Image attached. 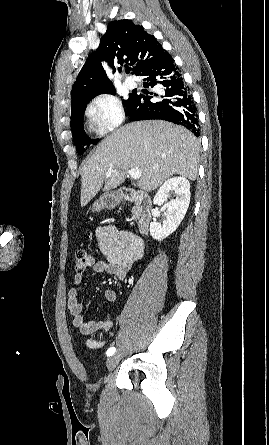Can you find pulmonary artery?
I'll use <instances>...</instances> for the list:
<instances>
[{
    "label": "pulmonary artery",
    "instance_id": "obj_1",
    "mask_svg": "<svg viewBox=\"0 0 269 445\" xmlns=\"http://www.w3.org/2000/svg\"><path fill=\"white\" fill-rule=\"evenodd\" d=\"M124 85L127 87V88H134L135 86H136V83L133 81V80H131V79H125L124 80Z\"/></svg>",
    "mask_w": 269,
    "mask_h": 445
}]
</instances>
